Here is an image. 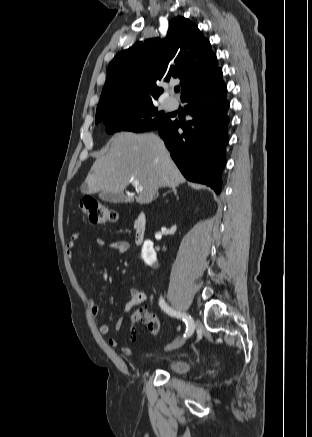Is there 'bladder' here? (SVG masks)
Listing matches in <instances>:
<instances>
[{
  "mask_svg": "<svg viewBox=\"0 0 312 437\" xmlns=\"http://www.w3.org/2000/svg\"><path fill=\"white\" fill-rule=\"evenodd\" d=\"M167 372L173 375H184L192 369V363L185 358H171L165 361Z\"/></svg>",
  "mask_w": 312,
  "mask_h": 437,
  "instance_id": "1",
  "label": "bladder"
}]
</instances>
